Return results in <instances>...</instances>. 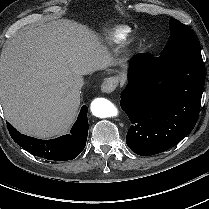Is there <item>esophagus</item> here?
Segmentation results:
<instances>
[{"instance_id": "esophagus-1", "label": "esophagus", "mask_w": 209, "mask_h": 209, "mask_svg": "<svg viewBox=\"0 0 209 209\" xmlns=\"http://www.w3.org/2000/svg\"><path fill=\"white\" fill-rule=\"evenodd\" d=\"M118 86V79L114 76L104 79L101 84V91L104 93L113 92Z\"/></svg>"}]
</instances>
